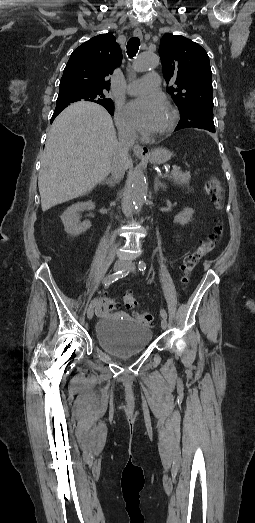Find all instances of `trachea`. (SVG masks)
<instances>
[{"instance_id":"trachea-1","label":"trachea","mask_w":255,"mask_h":523,"mask_svg":"<svg viewBox=\"0 0 255 523\" xmlns=\"http://www.w3.org/2000/svg\"><path fill=\"white\" fill-rule=\"evenodd\" d=\"M140 39L138 37H132L127 43V54L130 58L135 57L139 50Z\"/></svg>"}]
</instances>
